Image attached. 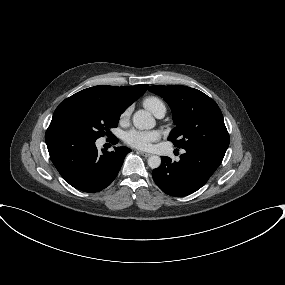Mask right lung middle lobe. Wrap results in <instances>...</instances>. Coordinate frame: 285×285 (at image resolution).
Masks as SVG:
<instances>
[{
  "mask_svg": "<svg viewBox=\"0 0 285 285\" xmlns=\"http://www.w3.org/2000/svg\"><path fill=\"white\" fill-rule=\"evenodd\" d=\"M123 111L104 101L67 98L56 108L51 122L72 126L96 140L117 127Z\"/></svg>",
  "mask_w": 285,
  "mask_h": 285,
  "instance_id": "dd1d6c3e",
  "label": "right lung middle lobe"
}]
</instances>
